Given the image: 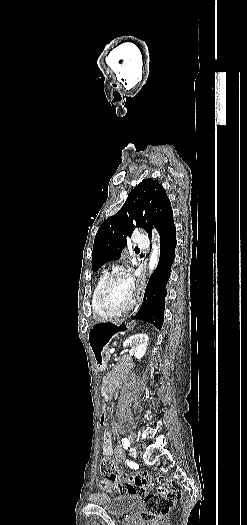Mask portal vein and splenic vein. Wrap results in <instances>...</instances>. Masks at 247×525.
Here are the masks:
<instances>
[{
    "label": "portal vein and splenic vein",
    "mask_w": 247,
    "mask_h": 525,
    "mask_svg": "<svg viewBox=\"0 0 247 525\" xmlns=\"http://www.w3.org/2000/svg\"><path fill=\"white\" fill-rule=\"evenodd\" d=\"M115 347H110L109 353H114Z\"/></svg>",
    "instance_id": "obj_1"
}]
</instances>
